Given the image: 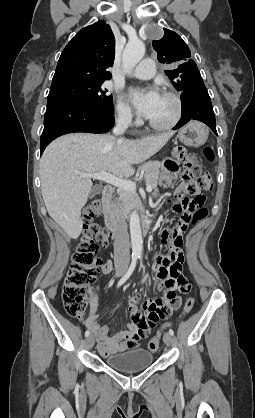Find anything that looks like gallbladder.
Here are the masks:
<instances>
[{"mask_svg":"<svg viewBox=\"0 0 255 418\" xmlns=\"http://www.w3.org/2000/svg\"><path fill=\"white\" fill-rule=\"evenodd\" d=\"M101 191H102V187L100 185L93 186L90 191L89 198H93L94 196L99 194Z\"/></svg>","mask_w":255,"mask_h":418,"instance_id":"1","label":"gallbladder"}]
</instances>
